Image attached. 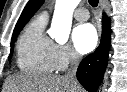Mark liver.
Returning <instances> with one entry per match:
<instances>
[{
  "label": "liver",
  "mask_w": 127,
  "mask_h": 92,
  "mask_svg": "<svg viewBox=\"0 0 127 92\" xmlns=\"http://www.w3.org/2000/svg\"><path fill=\"white\" fill-rule=\"evenodd\" d=\"M4 92H85L81 85H74L66 76L12 75L6 79Z\"/></svg>",
  "instance_id": "6515ba94"
}]
</instances>
